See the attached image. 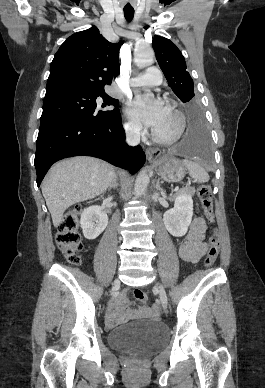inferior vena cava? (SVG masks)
Segmentation results:
<instances>
[{"label":"inferior vena cava","instance_id":"inferior-vena-cava-1","mask_svg":"<svg viewBox=\"0 0 265 388\" xmlns=\"http://www.w3.org/2000/svg\"><path fill=\"white\" fill-rule=\"evenodd\" d=\"M140 130L141 128H136V126H131L126 132V142L129 146H137L140 144Z\"/></svg>","mask_w":265,"mask_h":388}]
</instances>
